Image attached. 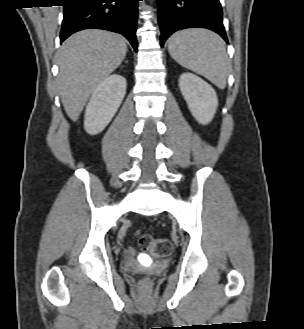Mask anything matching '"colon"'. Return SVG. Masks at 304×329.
<instances>
[{
  "mask_svg": "<svg viewBox=\"0 0 304 329\" xmlns=\"http://www.w3.org/2000/svg\"><path fill=\"white\" fill-rule=\"evenodd\" d=\"M137 238L139 246L154 257L164 258L172 251L171 242L166 238L154 237L152 234L141 232L137 234Z\"/></svg>",
  "mask_w": 304,
  "mask_h": 329,
  "instance_id": "1",
  "label": "colon"
}]
</instances>
